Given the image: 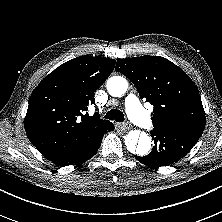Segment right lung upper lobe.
<instances>
[{"label": "right lung upper lobe", "instance_id": "cb5924a9", "mask_svg": "<svg viewBox=\"0 0 222 222\" xmlns=\"http://www.w3.org/2000/svg\"><path fill=\"white\" fill-rule=\"evenodd\" d=\"M115 63L101 56H80L57 67L35 88L25 117V131L47 159L86 146L110 123L84 111L89 103H95V91L112 73Z\"/></svg>", "mask_w": 222, "mask_h": 222}]
</instances>
